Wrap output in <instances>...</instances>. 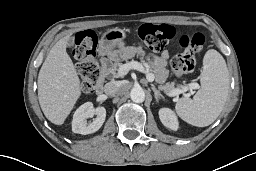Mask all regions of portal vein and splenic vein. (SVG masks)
<instances>
[{
	"mask_svg": "<svg viewBox=\"0 0 256 171\" xmlns=\"http://www.w3.org/2000/svg\"><path fill=\"white\" fill-rule=\"evenodd\" d=\"M131 69L144 72L145 75H146V79L149 82H153L154 79H155L154 74L149 72L148 66L146 64H142V63L137 62V61H130V62L126 63V64H122L120 66L119 70H118V73L121 76H125ZM198 87H199L198 84L190 83L187 86L183 87L182 89L178 88V89L172 91L168 96H171V97L172 96H177V95L181 94L182 92H185L187 90L192 91L193 89H197Z\"/></svg>",
	"mask_w": 256,
	"mask_h": 171,
	"instance_id": "obj_1",
	"label": "portal vein and splenic vein"
}]
</instances>
